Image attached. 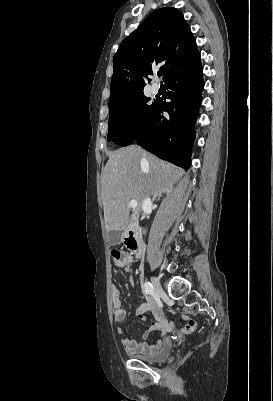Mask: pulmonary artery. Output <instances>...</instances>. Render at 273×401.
<instances>
[{"instance_id": "e3ab8cb5", "label": "pulmonary artery", "mask_w": 273, "mask_h": 401, "mask_svg": "<svg viewBox=\"0 0 273 401\" xmlns=\"http://www.w3.org/2000/svg\"><path fill=\"white\" fill-rule=\"evenodd\" d=\"M152 88L159 89L161 87V82L159 80H154L151 83Z\"/></svg>"}]
</instances>
